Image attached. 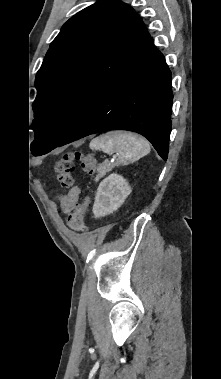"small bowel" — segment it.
<instances>
[{"label": "small bowel", "instance_id": "obj_1", "mask_svg": "<svg viewBox=\"0 0 221 379\" xmlns=\"http://www.w3.org/2000/svg\"><path fill=\"white\" fill-rule=\"evenodd\" d=\"M80 196V189L72 187L65 195L61 196V208L64 213L68 214L76 207Z\"/></svg>", "mask_w": 221, "mask_h": 379}]
</instances>
